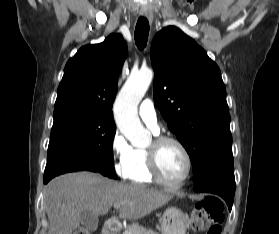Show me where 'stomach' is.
Returning a JSON list of instances; mask_svg holds the SVG:
<instances>
[{"label":"stomach","mask_w":279,"mask_h":234,"mask_svg":"<svg viewBox=\"0 0 279 234\" xmlns=\"http://www.w3.org/2000/svg\"><path fill=\"white\" fill-rule=\"evenodd\" d=\"M187 215L176 207L166 209L160 219L162 234H185Z\"/></svg>","instance_id":"stomach-1"}]
</instances>
